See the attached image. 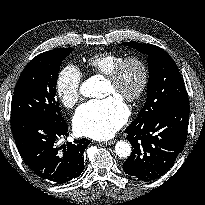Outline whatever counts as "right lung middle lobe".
<instances>
[{
	"instance_id": "obj_1",
	"label": "right lung middle lobe",
	"mask_w": 205,
	"mask_h": 205,
	"mask_svg": "<svg viewBox=\"0 0 205 205\" xmlns=\"http://www.w3.org/2000/svg\"><path fill=\"white\" fill-rule=\"evenodd\" d=\"M73 49L58 48L37 55L22 71L11 104V118L32 116L63 121L56 101V83L62 61Z\"/></svg>"
}]
</instances>
